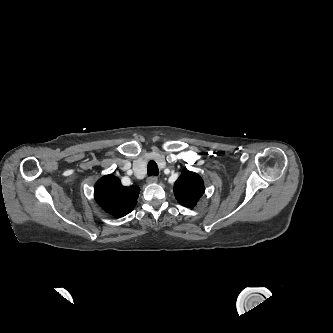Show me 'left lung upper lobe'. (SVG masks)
<instances>
[{"label": "left lung upper lobe", "mask_w": 333, "mask_h": 333, "mask_svg": "<svg viewBox=\"0 0 333 333\" xmlns=\"http://www.w3.org/2000/svg\"><path fill=\"white\" fill-rule=\"evenodd\" d=\"M205 191L201 177L188 170H183L174 184L177 201L185 207H194Z\"/></svg>", "instance_id": "1"}]
</instances>
